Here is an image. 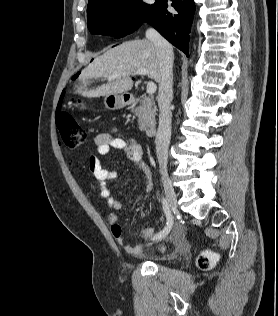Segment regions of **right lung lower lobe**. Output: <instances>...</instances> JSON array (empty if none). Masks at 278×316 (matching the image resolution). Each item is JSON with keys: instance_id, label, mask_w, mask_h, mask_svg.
Instances as JSON below:
<instances>
[{"instance_id": "obj_1", "label": "right lung lower lobe", "mask_w": 278, "mask_h": 316, "mask_svg": "<svg viewBox=\"0 0 278 316\" xmlns=\"http://www.w3.org/2000/svg\"><path fill=\"white\" fill-rule=\"evenodd\" d=\"M172 6L178 14H171L167 9V0H157L147 22L174 46L187 56L189 52V33L195 11L194 0H172Z\"/></svg>"}]
</instances>
